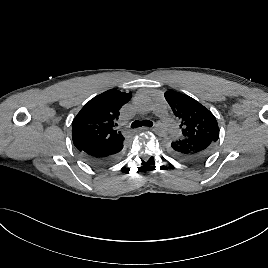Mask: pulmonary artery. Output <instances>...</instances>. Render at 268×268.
<instances>
[{
    "label": "pulmonary artery",
    "mask_w": 268,
    "mask_h": 268,
    "mask_svg": "<svg viewBox=\"0 0 268 268\" xmlns=\"http://www.w3.org/2000/svg\"><path fill=\"white\" fill-rule=\"evenodd\" d=\"M155 113L161 118L163 125L167 128L170 133L177 132V126L174 123L171 116L167 113L165 108L161 105L155 107Z\"/></svg>",
    "instance_id": "1"
}]
</instances>
